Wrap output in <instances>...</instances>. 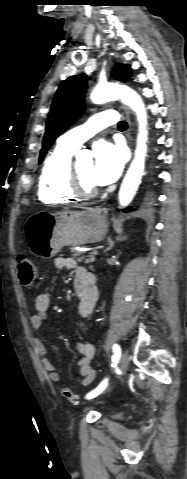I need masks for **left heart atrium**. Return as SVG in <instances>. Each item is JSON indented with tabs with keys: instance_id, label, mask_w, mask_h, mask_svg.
I'll use <instances>...</instances> for the list:
<instances>
[{
	"instance_id": "obj_1",
	"label": "left heart atrium",
	"mask_w": 187,
	"mask_h": 479,
	"mask_svg": "<svg viewBox=\"0 0 187 479\" xmlns=\"http://www.w3.org/2000/svg\"><path fill=\"white\" fill-rule=\"evenodd\" d=\"M94 163L92 180L96 185H107L120 176L125 155L121 147L107 141H98L93 147Z\"/></svg>"
}]
</instances>
